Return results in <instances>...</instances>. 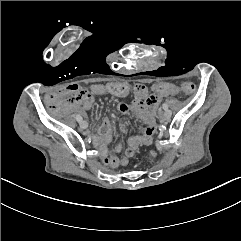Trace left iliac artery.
Masks as SVG:
<instances>
[{"mask_svg":"<svg viewBox=\"0 0 241 241\" xmlns=\"http://www.w3.org/2000/svg\"><path fill=\"white\" fill-rule=\"evenodd\" d=\"M162 107L164 110L168 109V105L166 103H163Z\"/></svg>","mask_w":241,"mask_h":241,"instance_id":"left-iliac-artery-1","label":"left iliac artery"}]
</instances>
